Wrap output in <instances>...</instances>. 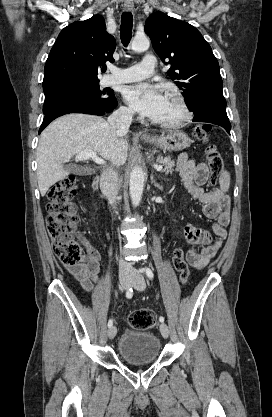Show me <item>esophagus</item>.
I'll use <instances>...</instances> for the list:
<instances>
[{
    "label": "esophagus",
    "mask_w": 272,
    "mask_h": 417,
    "mask_svg": "<svg viewBox=\"0 0 272 417\" xmlns=\"http://www.w3.org/2000/svg\"><path fill=\"white\" fill-rule=\"evenodd\" d=\"M124 9H125V11H127V12H133V10H134V5L132 4V3H125L124 4ZM140 134L141 135H146L145 133H143V132H140Z\"/></svg>",
    "instance_id": "34e87169"
}]
</instances>
